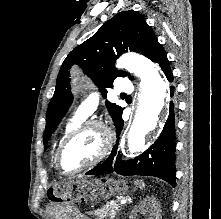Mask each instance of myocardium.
<instances>
[{"label": "myocardium", "mask_w": 221, "mask_h": 219, "mask_svg": "<svg viewBox=\"0 0 221 219\" xmlns=\"http://www.w3.org/2000/svg\"><path fill=\"white\" fill-rule=\"evenodd\" d=\"M90 128H98L102 133L103 142H102V147L100 149V152L91 162L84 165L83 167H80L73 171L64 170L61 165V156H62L63 150L74 137H76L81 132ZM112 145H113V133H112L111 128L104 121L98 120V119H90V120L84 121L78 126H76L75 128H73L60 143L55 154V166L62 175H65V176L76 175L83 171L89 170L90 168L99 164L109 154V152L112 149Z\"/></svg>", "instance_id": "obj_1"}]
</instances>
